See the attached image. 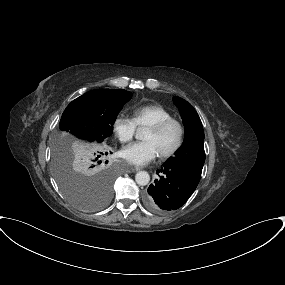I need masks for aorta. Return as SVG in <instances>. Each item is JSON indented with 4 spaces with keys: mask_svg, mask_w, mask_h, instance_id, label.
I'll return each instance as SVG.
<instances>
[{
    "mask_svg": "<svg viewBox=\"0 0 285 285\" xmlns=\"http://www.w3.org/2000/svg\"><path fill=\"white\" fill-rule=\"evenodd\" d=\"M136 138H138V139L143 138V131L141 129L137 130ZM135 181L138 185L145 186L150 181V175L146 171H139L135 175Z\"/></svg>",
    "mask_w": 285,
    "mask_h": 285,
    "instance_id": "762f6f07",
    "label": "aorta"
}]
</instances>
